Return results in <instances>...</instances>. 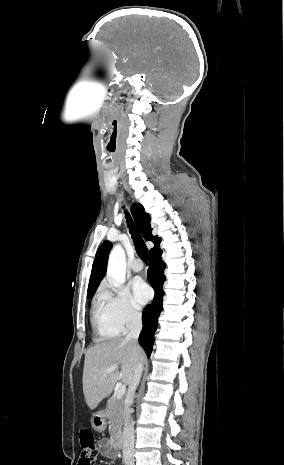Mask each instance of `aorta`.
I'll use <instances>...</instances> for the list:
<instances>
[{
  "mask_svg": "<svg viewBox=\"0 0 284 465\" xmlns=\"http://www.w3.org/2000/svg\"><path fill=\"white\" fill-rule=\"evenodd\" d=\"M107 275L114 284H123L126 277V256L121 245L113 247L108 260Z\"/></svg>",
  "mask_w": 284,
  "mask_h": 465,
  "instance_id": "1",
  "label": "aorta"
}]
</instances>
